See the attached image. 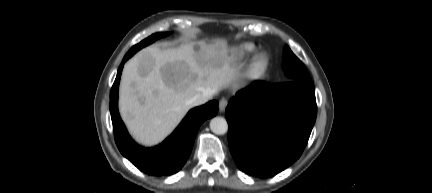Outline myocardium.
Returning <instances> with one entry per match:
<instances>
[{
  "mask_svg": "<svg viewBox=\"0 0 432 193\" xmlns=\"http://www.w3.org/2000/svg\"><path fill=\"white\" fill-rule=\"evenodd\" d=\"M269 65V58L266 53L260 52L252 59L246 75L249 78L256 79L264 75Z\"/></svg>",
  "mask_w": 432,
  "mask_h": 193,
  "instance_id": "obj_1",
  "label": "myocardium"
}]
</instances>
